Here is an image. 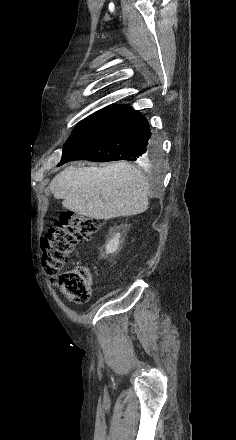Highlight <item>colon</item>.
<instances>
[{"label": "colon", "mask_w": 236, "mask_h": 440, "mask_svg": "<svg viewBox=\"0 0 236 440\" xmlns=\"http://www.w3.org/2000/svg\"><path fill=\"white\" fill-rule=\"evenodd\" d=\"M98 228L99 223L94 219L74 212H64L44 238L43 268L60 292L77 304L89 301L92 275L85 266H65L75 248L88 241Z\"/></svg>", "instance_id": "obj_1"}]
</instances>
